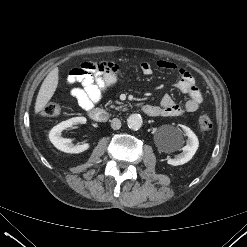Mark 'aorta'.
<instances>
[{
  "instance_id": "1",
  "label": "aorta",
  "mask_w": 247,
  "mask_h": 247,
  "mask_svg": "<svg viewBox=\"0 0 247 247\" xmlns=\"http://www.w3.org/2000/svg\"><path fill=\"white\" fill-rule=\"evenodd\" d=\"M128 127L132 130H139L143 124L141 115L131 114L127 119Z\"/></svg>"
}]
</instances>
